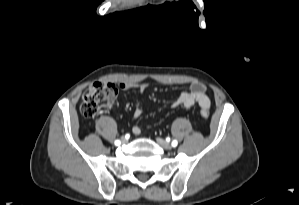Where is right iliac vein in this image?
<instances>
[{
	"label": "right iliac vein",
	"mask_w": 299,
	"mask_h": 205,
	"mask_svg": "<svg viewBox=\"0 0 299 205\" xmlns=\"http://www.w3.org/2000/svg\"><path fill=\"white\" fill-rule=\"evenodd\" d=\"M126 142V139L122 138V143H125Z\"/></svg>",
	"instance_id": "right-iliac-vein-1"
}]
</instances>
